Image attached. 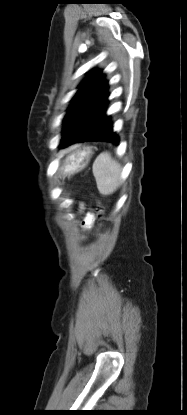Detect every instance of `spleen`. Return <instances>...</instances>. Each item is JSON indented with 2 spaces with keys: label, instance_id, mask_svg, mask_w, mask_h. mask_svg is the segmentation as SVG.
Returning <instances> with one entry per match:
<instances>
[{
  "label": "spleen",
  "instance_id": "spleen-1",
  "mask_svg": "<svg viewBox=\"0 0 187 415\" xmlns=\"http://www.w3.org/2000/svg\"><path fill=\"white\" fill-rule=\"evenodd\" d=\"M93 175L102 195L114 193L121 181V166L112 159L110 153H101L93 163Z\"/></svg>",
  "mask_w": 187,
  "mask_h": 415
}]
</instances>
